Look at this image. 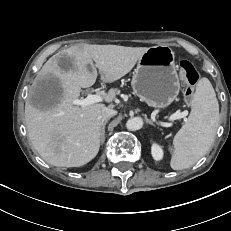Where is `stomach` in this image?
<instances>
[{
  "label": "stomach",
  "mask_w": 231,
  "mask_h": 231,
  "mask_svg": "<svg viewBox=\"0 0 231 231\" xmlns=\"http://www.w3.org/2000/svg\"><path fill=\"white\" fill-rule=\"evenodd\" d=\"M131 86L133 93L150 107H168L180 91L172 49L168 46L150 47L138 60Z\"/></svg>",
  "instance_id": "1"
}]
</instances>
